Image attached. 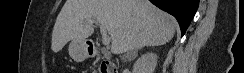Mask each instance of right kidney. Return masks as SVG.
Instances as JSON below:
<instances>
[{"label": "right kidney", "instance_id": "ca27d5eb", "mask_svg": "<svg viewBox=\"0 0 244 73\" xmlns=\"http://www.w3.org/2000/svg\"><path fill=\"white\" fill-rule=\"evenodd\" d=\"M156 65L157 55L152 52L145 53L135 62L133 73H154Z\"/></svg>", "mask_w": 244, "mask_h": 73}]
</instances>
